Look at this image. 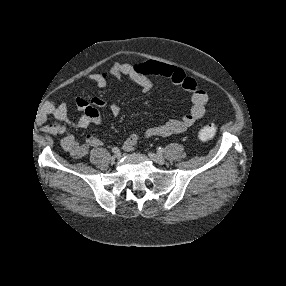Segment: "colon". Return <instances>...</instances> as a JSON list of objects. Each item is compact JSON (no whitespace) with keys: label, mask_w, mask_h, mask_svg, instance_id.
I'll return each instance as SVG.
<instances>
[{"label":"colon","mask_w":286,"mask_h":286,"mask_svg":"<svg viewBox=\"0 0 286 286\" xmlns=\"http://www.w3.org/2000/svg\"><path fill=\"white\" fill-rule=\"evenodd\" d=\"M216 133L217 125L215 123H209L199 130L198 137L200 140H209L212 139Z\"/></svg>","instance_id":"1"}]
</instances>
